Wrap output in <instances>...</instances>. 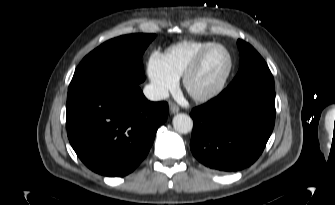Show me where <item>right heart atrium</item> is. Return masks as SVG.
I'll list each match as a JSON object with an SVG mask.
<instances>
[{"label": "right heart atrium", "instance_id": "obj_1", "mask_svg": "<svg viewBox=\"0 0 335 205\" xmlns=\"http://www.w3.org/2000/svg\"><path fill=\"white\" fill-rule=\"evenodd\" d=\"M146 71L152 93L158 98L164 97L177 84V77L170 72L163 55L158 52L150 55Z\"/></svg>", "mask_w": 335, "mask_h": 205}]
</instances>
